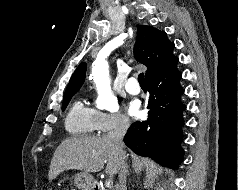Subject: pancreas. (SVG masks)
I'll list each match as a JSON object with an SVG mask.
<instances>
[{"instance_id": "pancreas-1", "label": "pancreas", "mask_w": 238, "mask_h": 190, "mask_svg": "<svg viewBox=\"0 0 238 190\" xmlns=\"http://www.w3.org/2000/svg\"><path fill=\"white\" fill-rule=\"evenodd\" d=\"M104 190H116V189H114V188L111 186V187H108V189H104Z\"/></svg>"}]
</instances>
